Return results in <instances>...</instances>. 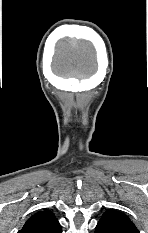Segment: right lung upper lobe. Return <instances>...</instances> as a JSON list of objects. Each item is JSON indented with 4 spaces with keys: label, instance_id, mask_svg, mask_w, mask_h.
<instances>
[{
    "label": "right lung upper lobe",
    "instance_id": "1",
    "mask_svg": "<svg viewBox=\"0 0 148 233\" xmlns=\"http://www.w3.org/2000/svg\"><path fill=\"white\" fill-rule=\"evenodd\" d=\"M18 233H61V225L49 210L30 217Z\"/></svg>",
    "mask_w": 148,
    "mask_h": 233
}]
</instances>
